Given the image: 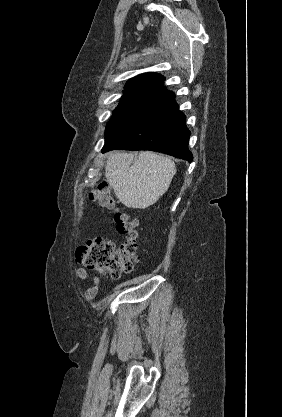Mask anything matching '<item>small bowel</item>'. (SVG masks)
Here are the masks:
<instances>
[{
	"mask_svg": "<svg viewBox=\"0 0 282 417\" xmlns=\"http://www.w3.org/2000/svg\"><path fill=\"white\" fill-rule=\"evenodd\" d=\"M74 274L78 279L83 281H90L92 283V285L85 290L84 298L86 301L93 300L98 294L99 278L97 276L91 275L84 268H76L74 270Z\"/></svg>",
	"mask_w": 282,
	"mask_h": 417,
	"instance_id": "1",
	"label": "small bowel"
}]
</instances>
